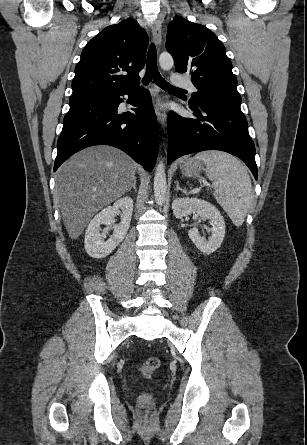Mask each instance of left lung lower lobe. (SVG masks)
Returning <instances> with one entry per match:
<instances>
[{"mask_svg":"<svg viewBox=\"0 0 307 445\" xmlns=\"http://www.w3.org/2000/svg\"><path fill=\"white\" fill-rule=\"evenodd\" d=\"M190 108L197 119L169 114L167 162L190 153L221 150L242 159L257 179L255 147L242 111L223 106H199L201 113L198 108Z\"/></svg>","mask_w":307,"mask_h":445,"instance_id":"1","label":"left lung lower lobe"}]
</instances>
